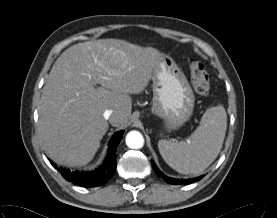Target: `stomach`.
I'll use <instances>...</instances> for the list:
<instances>
[{"label":"stomach","mask_w":277,"mask_h":218,"mask_svg":"<svg viewBox=\"0 0 277 218\" xmlns=\"http://www.w3.org/2000/svg\"><path fill=\"white\" fill-rule=\"evenodd\" d=\"M153 100L151 112L164 121L168 130H176L187 122L194 109L193 90L175 61L162 55L152 74Z\"/></svg>","instance_id":"1"}]
</instances>
